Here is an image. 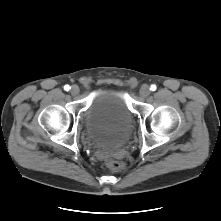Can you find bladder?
I'll list each match as a JSON object with an SVG mask.
<instances>
[{"mask_svg":"<svg viewBox=\"0 0 221 221\" xmlns=\"http://www.w3.org/2000/svg\"><path fill=\"white\" fill-rule=\"evenodd\" d=\"M134 116L124 94L111 87L93 93L84 118V133L93 145L113 154L130 137Z\"/></svg>","mask_w":221,"mask_h":221,"instance_id":"1","label":"bladder"}]
</instances>
